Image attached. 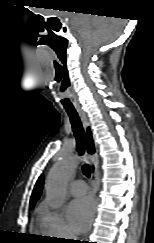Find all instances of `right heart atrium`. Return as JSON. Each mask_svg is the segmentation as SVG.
<instances>
[{"label":"right heart atrium","instance_id":"1","mask_svg":"<svg viewBox=\"0 0 154 243\" xmlns=\"http://www.w3.org/2000/svg\"><path fill=\"white\" fill-rule=\"evenodd\" d=\"M39 225L41 231L51 238L68 239L74 237L63 213L52 208L48 203H45L40 209Z\"/></svg>","mask_w":154,"mask_h":243}]
</instances>
